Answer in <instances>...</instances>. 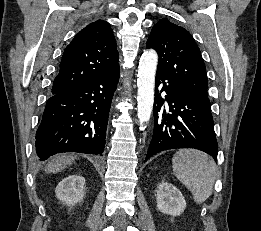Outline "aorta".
Masks as SVG:
<instances>
[{
	"mask_svg": "<svg viewBox=\"0 0 261 231\" xmlns=\"http://www.w3.org/2000/svg\"><path fill=\"white\" fill-rule=\"evenodd\" d=\"M158 64L157 52L153 49L143 53L138 67V119L140 130H144V123L151 117L154 103L155 73Z\"/></svg>",
	"mask_w": 261,
	"mask_h": 231,
	"instance_id": "aorta-1",
	"label": "aorta"
}]
</instances>
